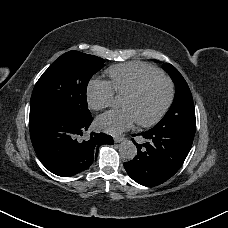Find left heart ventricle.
<instances>
[{
	"mask_svg": "<svg viewBox=\"0 0 228 228\" xmlns=\"http://www.w3.org/2000/svg\"><path fill=\"white\" fill-rule=\"evenodd\" d=\"M167 95V86L158 82L137 98H126L123 105L129 109L139 121H148L153 118L161 108Z\"/></svg>",
	"mask_w": 228,
	"mask_h": 228,
	"instance_id": "b2bd125f",
	"label": "left heart ventricle"
}]
</instances>
